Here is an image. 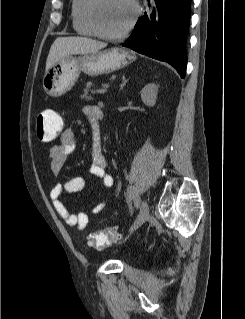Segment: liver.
I'll use <instances>...</instances> for the list:
<instances>
[{
  "instance_id": "6515ba94",
  "label": "liver",
  "mask_w": 245,
  "mask_h": 319,
  "mask_svg": "<svg viewBox=\"0 0 245 319\" xmlns=\"http://www.w3.org/2000/svg\"><path fill=\"white\" fill-rule=\"evenodd\" d=\"M107 46L106 43L96 41L87 37H58L52 44L47 61L46 71L60 59L73 54L97 53Z\"/></svg>"
}]
</instances>
